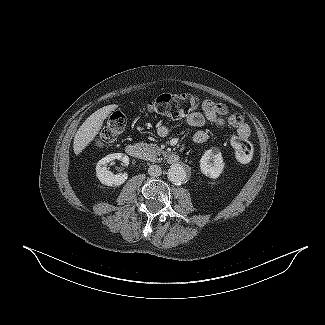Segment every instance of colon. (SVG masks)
<instances>
[{
    "label": "colon",
    "instance_id": "colon-1",
    "mask_svg": "<svg viewBox=\"0 0 325 325\" xmlns=\"http://www.w3.org/2000/svg\"><path fill=\"white\" fill-rule=\"evenodd\" d=\"M199 106L197 96L188 93H164L147 102L149 112L159 114L171 120H177L189 116ZM126 118L121 112H113L105 121L98 141L108 143L116 140L125 130ZM235 157L240 163H247L253 157L252 144L234 136L232 138Z\"/></svg>",
    "mask_w": 325,
    "mask_h": 325
}]
</instances>
